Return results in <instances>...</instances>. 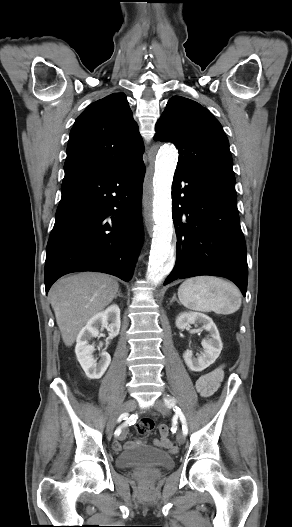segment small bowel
I'll list each match as a JSON object with an SVG mask.
<instances>
[{"mask_svg": "<svg viewBox=\"0 0 292 527\" xmlns=\"http://www.w3.org/2000/svg\"><path fill=\"white\" fill-rule=\"evenodd\" d=\"M223 378V369L221 367L215 368L205 375L201 376L196 381V388L202 397L211 396L218 389L219 384ZM160 432L158 434L159 439L154 440V445L162 447H170L173 450L176 449V444L168 439L171 432L170 427L166 421L159 423ZM127 428L122 429L118 440L114 441L113 448L115 451H121L123 446L121 441L126 438ZM143 441H131L126 443L125 448L130 449L136 445L143 444Z\"/></svg>", "mask_w": 292, "mask_h": 527, "instance_id": "c3829d8e", "label": "small bowel"}]
</instances>
